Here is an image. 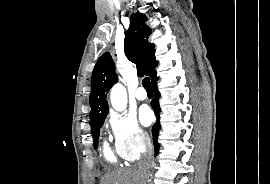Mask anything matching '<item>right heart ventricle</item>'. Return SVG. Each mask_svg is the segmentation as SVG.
Instances as JSON below:
<instances>
[{"label":"right heart ventricle","mask_w":270,"mask_h":184,"mask_svg":"<svg viewBox=\"0 0 270 184\" xmlns=\"http://www.w3.org/2000/svg\"><path fill=\"white\" fill-rule=\"evenodd\" d=\"M103 153H104V157L105 159L110 162V163H117V156L116 154L111 150V148L107 145V144H104V147H103Z\"/></svg>","instance_id":"right-heart-ventricle-1"}]
</instances>
